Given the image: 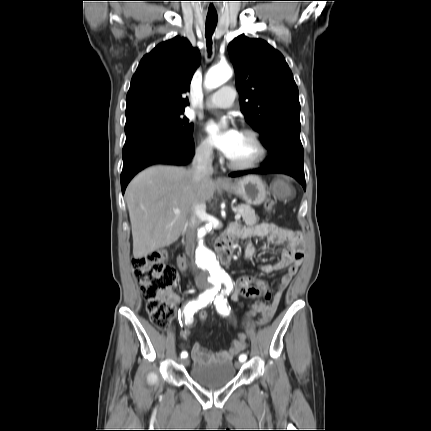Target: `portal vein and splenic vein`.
Wrapping results in <instances>:
<instances>
[{
  "label": "portal vein and splenic vein",
  "instance_id": "portal-vein-and-splenic-vein-1",
  "mask_svg": "<svg viewBox=\"0 0 431 431\" xmlns=\"http://www.w3.org/2000/svg\"><path fill=\"white\" fill-rule=\"evenodd\" d=\"M174 213L175 214H179L180 213V211L178 210V209H175L174 210ZM241 218V210H239L238 212H237V214L235 215V220H239Z\"/></svg>",
  "mask_w": 431,
  "mask_h": 431
}]
</instances>
